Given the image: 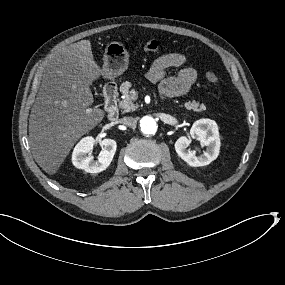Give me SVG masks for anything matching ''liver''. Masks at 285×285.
<instances>
[{
	"mask_svg": "<svg viewBox=\"0 0 285 285\" xmlns=\"http://www.w3.org/2000/svg\"><path fill=\"white\" fill-rule=\"evenodd\" d=\"M101 73L89 40L62 47L50 58L29 118L30 149L48 174H55L76 141L103 120L105 112L90 107V86Z\"/></svg>",
	"mask_w": 285,
	"mask_h": 285,
	"instance_id": "1",
	"label": "liver"
}]
</instances>
